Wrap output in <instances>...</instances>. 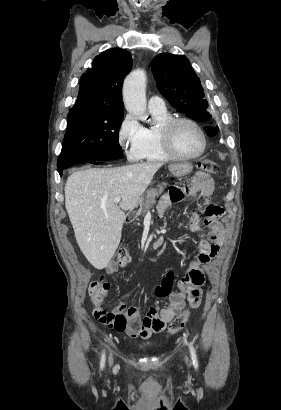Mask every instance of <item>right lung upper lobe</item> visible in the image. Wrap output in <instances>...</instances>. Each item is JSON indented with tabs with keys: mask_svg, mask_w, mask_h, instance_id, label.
Listing matches in <instances>:
<instances>
[{
	"mask_svg": "<svg viewBox=\"0 0 281 410\" xmlns=\"http://www.w3.org/2000/svg\"><path fill=\"white\" fill-rule=\"evenodd\" d=\"M131 68L132 57L128 51L114 48L102 52L82 75L74 106L123 111L122 84Z\"/></svg>",
	"mask_w": 281,
	"mask_h": 410,
	"instance_id": "obj_1",
	"label": "right lung upper lobe"
}]
</instances>
